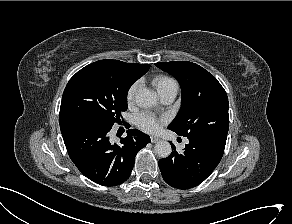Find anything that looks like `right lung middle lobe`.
Listing matches in <instances>:
<instances>
[{"mask_svg":"<svg viewBox=\"0 0 292 224\" xmlns=\"http://www.w3.org/2000/svg\"><path fill=\"white\" fill-rule=\"evenodd\" d=\"M136 81L124 62L100 60L78 71L68 82L59 119L78 116L103 127L121 123L127 110V93Z\"/></svg>","mask_w":292,"mask_h":224,"instance_id":"right-lung-middle-lobe-1","label":"right lung middle lobe"}]
</instances>
